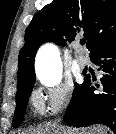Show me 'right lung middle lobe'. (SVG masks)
Listing matches in <instances>:
<instances>
[{"label": "right lung middle lobe", "mask_w": 116, "mask_h": 134, "mask_svg": "<svg viewBox=\"0 0 116 134\" xmlns=\"http://www.w3.org/2000/svg\"><path fill=\"white\" fill-rule=\"evenodd\" d=\"M33 84L34 82L25 85L23 90L19 94L16 95V110H15L13 122H12V126L14 127L20 126L23 122L24 113L26 110L29 96L33 89ZM80 87L81 85H78L77 83H75L73 96H75V94L79 91Z\"/></svg>", "instance_id": "obj_1"}]
</instances>
